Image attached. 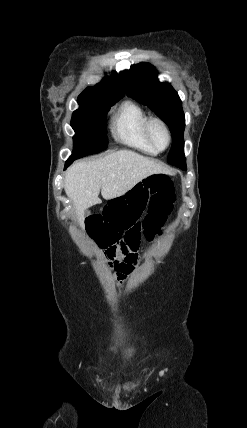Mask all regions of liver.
<instances>
[{"mask_svg":"<svg viewBox=\"0 0 247 428\" xmlns=\"http://www.w3.org/2000/svg\"><path fill=\"white\" fill-rule=\"evenodd\" d=\"M162 164L131 150H119L96 160L73 164L65 175L64 189L82 224L85 210L100 204L99 192L110 200L124 195L143 179L168 173Z\"/></svg>","mask_w":247,"mask_h":428,"instance_id":"6515ba94","label":"liver"}]
</instances>
